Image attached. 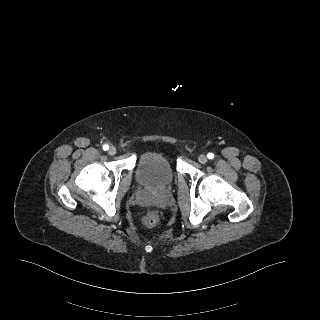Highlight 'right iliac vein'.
Instances as JSON below:
<instances>
[{"label":"right iliac vein","instance_id":"1","mask_svg":"<svg viewBox=\"0 0 320 320\" xmlns=\"http://www.w3.org/2000/svg\"><path fill=\"white\" fill-rule=\"evenodd\" d=\"M108 153H109L110 155H115V154H116V148H115V147H110Z\"/></svg>","mask_w":320,"mask_h":320}]
</instances>
